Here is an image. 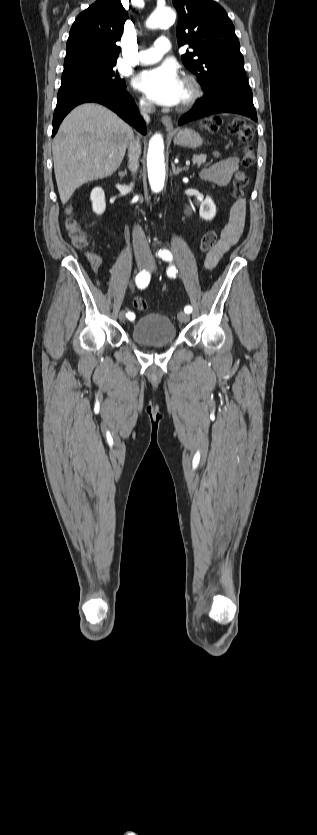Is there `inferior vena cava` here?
Returning <instances> with one entry per match:
<instances>
[{
  "label": "inferior vena cava",
  "mask_w": 317,
  "mask_h": 835,
  "mask_svg": "<svg viewBox=\"0 0 317 835\" xmlns=\"http://www.w3.org/2000/svg\"><path fill=\"white\" fill-rule=\"evenodd\" d=\"M139 110L144 118V120L148 123L150 122L149 114L155 111V106L149 101H142L139 105ZM141 154V146L139 141L133 139L128 146V158L129 164L128 167L130 171L134 174L136 173L139 163L138 159ZM133 246L136 258H150L151 251L146 240L145 234L140 226H135L133 230Z\"/></svg>",
  "instance_id": "602c4592"
}]
</instances>
